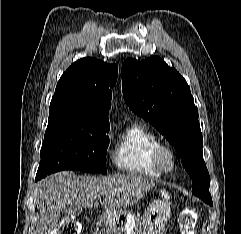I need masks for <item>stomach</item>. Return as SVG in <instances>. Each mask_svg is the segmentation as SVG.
Listing matches in <instances>:
<instances>
[{
  "label": "stomach",
  "instance_id": "obj_1",
  "mask_svg": "<svg viewBox=\"0 0 241 234\" xmlns=\"http://www.w3.org/2000/svg\"><path fill=\"white\" fill-rule=\"evenodd\" d=\"M169 217V203L157 200L146 209L141 219L133 212L124 210L106 214L103 220L116 227L118 234H163Z\"/></svg>",
  "mask_w": 241,
  "mask_h": 234
}]
</instances>
